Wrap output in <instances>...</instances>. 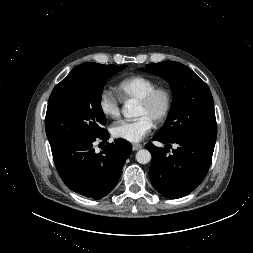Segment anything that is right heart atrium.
<instances>
[{
	"label": "right heart atrium",
	"mask_w": 253,
	"mask_h": 253,
	"mask_svg": "<svg viewBox=\"0 0 253 253\" xmlns=\"http://www.w3.org/2000/svg\"><path fill=\"white\" fill-rule=\"evenodd\" d=\"M98 108L103 116L115 119L121 113V100L114 92L104 89L98 97Z\"/></svg>",
	"instance_id": "right-heart-atrium-1"
}]
</instances>
